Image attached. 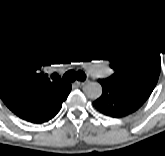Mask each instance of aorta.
Returning a JSON list of instances; mask_svg holds the SVG:
<instances>
[{"label": "aorta", "instance_id": "aorta-1", "mask_svg": "<svg viewBox=\"0 0 165 156\" xmlns=\"http://www.w3.org/2000/svg\"><path fill=\"white\" fill-rule=\"evenodd\" d=\"M83 91L88 98L95 100L101 96L103 90L100 83L89 82L84 86Z\"/></svg>", "mask_w": 165, "mask_h": 156}]
</instances>
